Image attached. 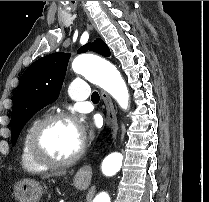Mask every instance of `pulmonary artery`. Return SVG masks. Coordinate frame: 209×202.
<instances>
[{
	"instance_id": "pulmonary-artery-1",
	"label": "pulmonary artery",
	"mask_w": 209,
	"mask_h": 202,
	"mask_svg": "<svg viewBox=\"0 0 209 202\" xmlns=\"http://www.w3.org/2000/svg\"><path fill=\"white\" fill-rule=\"evenodd\" d=\"M68 89L72 98L76 101L86 100L89 97L88 81L83 78L73 80L68 85Z\"/></svg>"
}]
</instances>
